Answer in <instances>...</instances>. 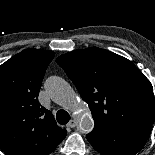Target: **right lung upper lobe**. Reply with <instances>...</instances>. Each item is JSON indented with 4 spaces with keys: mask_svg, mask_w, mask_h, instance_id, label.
<instances>
[{
    "mask_svg": "<svg viewBox=\"0 0 155 155\" xmlns=\"http://www.w3.org/2000/svg\"><path fill=\"white\" fill-rule=\"evenodd\" d=\"M54 54L25 49L0 66V149L6 155H49L66 136L38 102Z\"/></svg>",
    "mask_w": 155,
    "mask_h": 155,
    "instance_id": "right-lung-upper-lobe-1",
    "label": "right lung upper lobe"
}]
</instances>
